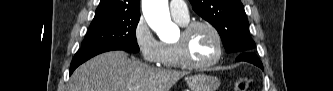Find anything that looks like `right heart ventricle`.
<instances>
[{
    "label": "right heart ventricle",
    "mask_w": 333,
    "mask_h": 91,
    "mask_svg": "<svg viewBox=\"0 0 333 91\" xmlns=\"http://www.w3.org/2000/svg\"><path fill=\"white\" fill-rule=\"evenodd\" d=\"M180 25H185L188 20L175 19ZM160 64L165 67H181L177 56V48L175 43H162V55Z\"/></svg>",
    "instance_id": "1"
}]
</instances>
